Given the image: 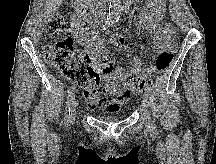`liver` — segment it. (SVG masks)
Returning a JSON list of instances; mask_svg holds the SVG:
<instances>
[{"instance_id": "1", "label": "liver", "mask_w": 216, "mask_h": 164, "mask_svg": "<svg viewBox=\"0 0 216 164\" xmlns=\"http://www.w3.org/2000/svg\"><path fill=\"white\" fill-rule=\"evenodd\" d=\"M63 0H46V13L48 16H51L54 11L58 9Z\"/></svg>"}]
</instances>
